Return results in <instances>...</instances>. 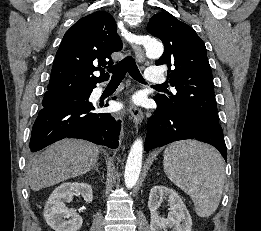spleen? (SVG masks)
Masks as SVG:
<instances>
[{
	"instance_id": "obj_1",
	"label": "spleen",
	"mask_w": 261,
	"mask_h": 231,
	"mask_svg": "<svg viewBox=\"0 0 261 231\" xmlns=\"http://www.w3.org/2000/svg\"><path fill=\"white\" fill-rule=\"evenodd\" d=\"M164 171L171 182L187 193L200 217L217 209L224 188L225 170L220 153L195 140L168 145L163 154Z\"/></svg>"
}]
</instances>
